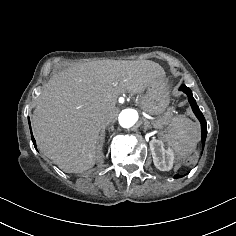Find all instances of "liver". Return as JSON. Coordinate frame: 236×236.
Wrapping results in <instances>:
<instances>
[{
	"label": "liver",
	"mask_w": 236,
	"mask_h": 236,
	"mask_svg": "<svg viewBox=\"0 0 236 236\" xmlns=\"http://www.w3.org/2000/svg\"><path fill=\"white\" fill-rule=\"evenodd\" d=\"M163 68L150 60H101L73 65L50 77L32 115L40 151L66 173L93 168L104 153L99 136L115 121L120 94L143 93L165 82Z\"/></svg>",
	"instance_id": "liver-1"
}]
</instances>
